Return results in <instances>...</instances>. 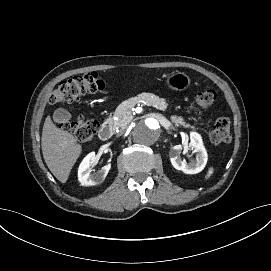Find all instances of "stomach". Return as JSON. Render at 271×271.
Returning a JSON list of instances; mask_svg holds the SVG:
<instances>
[{
  "instance_id": "0dacf381",
  "label": "stomach",
  "mask_w": 271,
  "mask_h": 271,
  "mask_svg": "<svg viewBox=\"0 0 271 271\" xmlns=\"http://www.w3.org/2000/svg\"><path fill=\"white\" fill-rule=\"evenodd\" d=\"M191 84V78L184 72H174L167 77L166 86L175 91H183Z\"/></svg>"
}]
</instances>
